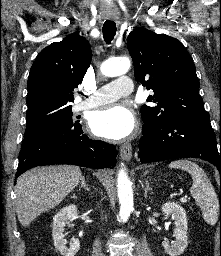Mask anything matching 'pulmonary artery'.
I'll list each match as a JSON object with an SVG mask.
<instances>
[{"label":"pulmonary artery","instance_id":"e3ab8cb5","mask_svg":"<svg viewBox=\"0 0 221 256\" xmlns=\"http://www.w3.org/2000/svg\"><path fill=\"white\" fill-rule=\"evenodd\" d=\"M132 91V80L129 77L122 76L100 87L93 95L85 99L78 108H94L102 104L113 102L121 97L128 96Z\"/></svg>","mask_w":221,"mask_h":256}]
</instances>
